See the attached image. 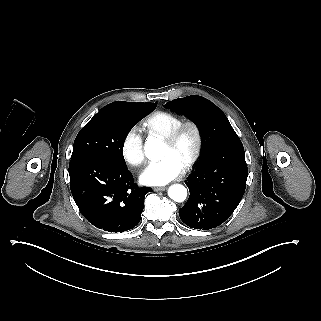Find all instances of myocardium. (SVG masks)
<instances>
[{"instance_id":"obj_1","label":"myocardium","mask_w":321,"mask_h":321,"mask_svg":"<svg viewBox=\"0 0 321 321\" xmlns=\"http://www.w3.org/2000/svg\"><path fill=\"white\" fill-rule=\"evenodd\" d=\"M187 130H192L195 135V145L187 158L184 164V171L191 170L194 165L197 163L199 158L201 157L203 151V132L200 125L193 120H188L182 122L175 129H173L169 134L163 135L162 139L171 145L173 148H177L184 133Z\"/></svg>"}]
</instances>
